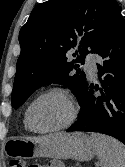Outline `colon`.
<instances>
[{
	"instance_id": "obj_1",
	"label": "colon",
	"mask_w": 125,
	"mask_h": 167,
	"mask_svg": "<svg viewBox=\"0 0 125 167\" xmlns=\"http://www.w3.org/2000/svg\"><path fill=\"white\" fill-rule=\"evenodd\" d=\"M9 167H40V165L28 166L23 159L13 158L9 161Z\"/></svg>"
}]
</instances>
